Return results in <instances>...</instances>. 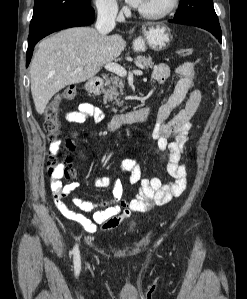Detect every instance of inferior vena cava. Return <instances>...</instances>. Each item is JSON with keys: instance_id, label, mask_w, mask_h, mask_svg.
Returning <instances> with one entry per match:
<instances>
[{"instance_id": "inferior-vena-cava-1", "label": "inferior vena cava", "mask_w": 247, "mask_h": 299, "mask_svg": "<svg viewBox=\"0 0 247 299\" xmlns=\"http://www.w3.org/2000/svg\"><path fill=\"white\" fill-rule=\"evenodd\" d=\"M117 13L118 8L115 3L103 4L98 7V16L95 27L100 35L105 36L114 29Z\"/></svg>"}]
</instances>
